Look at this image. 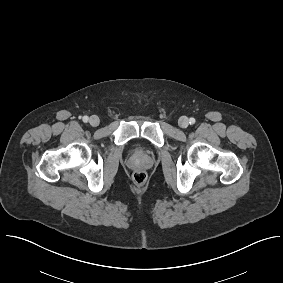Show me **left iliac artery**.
<instances>
[{
    "label": "left iliac artery",
    "mask_w": 283,
    "mask_h": 283,
    "mask_svg": "<svg viewBox=\"0 0 283 283\" xmlns=\"http://www.w3.org/2000/svg\"><path fill=\"white\" fill-rule=\"evenodd\" d=\"M189 123L191 124V125H193L194 123H195V119L192 117V118H190L189 119Z\"/></svg>",
    "instance_id": "1"
}]
</instances>
